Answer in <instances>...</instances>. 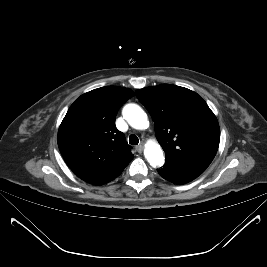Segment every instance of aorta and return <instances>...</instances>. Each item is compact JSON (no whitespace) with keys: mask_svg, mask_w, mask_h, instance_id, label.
<instances>
[{"mask_svg":"<svg viewBox=\"0 0 267 267\" xmlns=\"http://www.w3.org/2000/svg\"><path fill=\"white\" fill-rule=\"evenodd\" d=\"M124 119L128 124L137 130L146 129L149 125L145 111L137 104L130 103L124 106L122 111ZM144 155L151 166H163L165 157L160 145L156 142H149L144 150Z\"/></svg>","mask_w":267,"mask_h":267,"instance_id":"obj_1","label":"aorta"}]
</instances>
